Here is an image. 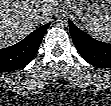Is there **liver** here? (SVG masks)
I'll return each mask as SVG.
<instances>
[{"mask_svg": "<svg viewBox=\"0 0 111 106\" xmlns=\"http://www.w3.org/2000/svg\"><path fill=\"white\" fill-rule=\"evenodd\" d=\"M58 0H1L0 46L7 47L25 38L49 19Z\"/></svg>", "mask_w": 111, "mask_h": 106, "instance_id": "6515ba94", "label": "liver"}]
</instances>
